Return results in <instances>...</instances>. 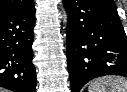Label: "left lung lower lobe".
<instances>
[{"instance_id":"obj_1","label":"left lung lower lobe","mask_w":127,"mask_h":92,"mask_svg":"<svg viewBox=\"0 0 127 92\" xmlns=\"http://www.w3.org/2000/svg\"><path fill=\"white\" fill-rule=\"evenodd\" d=\"M69 15L67 59L72 92L105 75L127 77V38L115 4L63 0Z\"/></svg>"}]
</instances>
